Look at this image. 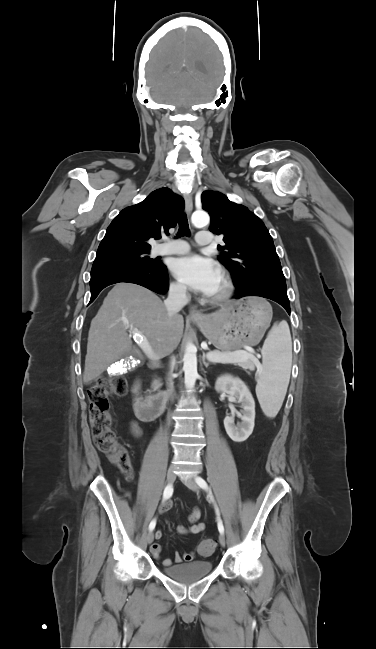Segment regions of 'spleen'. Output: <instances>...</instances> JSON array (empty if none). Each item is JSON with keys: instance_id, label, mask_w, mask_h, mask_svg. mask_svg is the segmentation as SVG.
Masks as SVG:
<instances>
[{"instance_id": "3e777b00", "label": "spleen", "mask_w": 376, "mask_h": 649, "mask_svg": "<svg viewBox=\"0 0 376 649\" xmlns=\"http://www.w3.org/2000/svg\"><path fill=\"white\" fill-rule=\"evenodd\" d=\"M256 394L266 416L275 417L285 398L292 365V340L288 324L273 326L263 348Z\"/></svg>"}]
</instances>
